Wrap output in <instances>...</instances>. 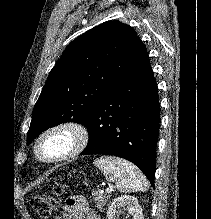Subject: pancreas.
I'll use <instances>...</instances> for the list:
<instances>
[{
    "label": "pancreas",
    "instance_id": "obj_1",
    "mask_svg": "<svg viewBox=\"0 0 211 219\" xmlns=\"http://www.w3.org/2000/svg\"><path fill=\"white\" fill-rule=\"evenodd\" d=\"M93 196H94V200L96 201V207L102 211L104 205L108 200V196L103 195L100 192H94Z\"/></svg>",
    "mask_w": 211,
    "mask_h": 219
}]
</instances>
